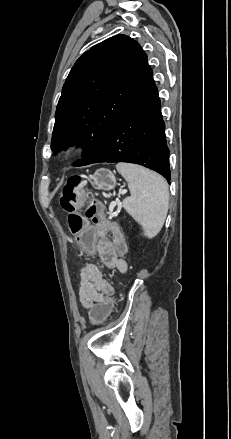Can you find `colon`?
<instances>
[{
    "mask_svg": "<svg viewBox=\"0 0 231 439\" xmlns=\"http://www.w3.org/2000/svg\"><path fill=\"white\" fill-rule=\"evenodd\" d=\"M80 184V176H73L68 180L62 191L60 205L68 213L69 230L75 237L78 245L83 249L85 262H92L93 257L96 255L93 246L95 232L89 220L96 227L112 229L115 234L118 250L123 254L125 252V244L122 234L115 222L105 215L99 202L92 200L87 203L85 206V217L79 213L82 208V201L76 193V189ZM116 298L115 293H108L105 298H99L97 303L89 307V320L92 323H105V321H108L115 311Z\"/></svg>",
    "mask_w": 231,
    "mask_h": 439,
    "instance_id": "colon-1",
    "label": "colon"
}]
</instances>
